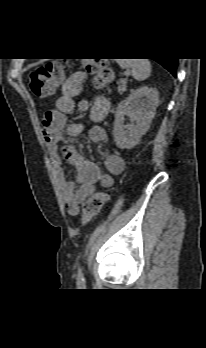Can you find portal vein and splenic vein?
I'll use <instances>...</instances> for the list:
<instances>
[{
	"label": "portal vein and splenic vein",
	"instance_id": "1",
	"mask_svg": "<svg viewBox=\"0 0 206 348\" xmlns=\"http://www.w3.org/2000/svg\"><path fill=\"white\" fill-rule=\"evenodd\" d=\"M122 82L125 83V82H126V79H123Z\"/></svg>",
	"mask_w": 206,
	"mask_h": 348
}]
</instances>
